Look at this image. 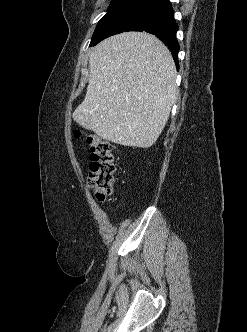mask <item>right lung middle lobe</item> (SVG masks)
Segmentation results:
<instances>
[{"label": "right lung middle lobe", "mask_w": 247, "mask_h": 332, "mask_svg": "<svg viewBox=\"0 0 247 332\" xmlns=\"http://www.w3.org/2000/svg\"><path fill=\"white\" fill-rule=\"evenodd\" d=\"M145 3V0H112L106 15L98 22L89 46L96 45L101 34L112 23Z\"/></svg>", "instance_id": "right-lung-middle-lobe-1"}]
</instances>
